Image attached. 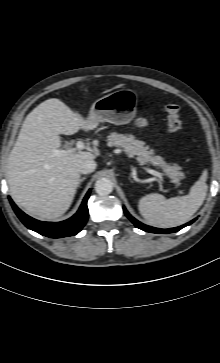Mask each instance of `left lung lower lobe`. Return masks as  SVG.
I'll return each mask as SVG.
<instances>
[{"mask_svg":"<svg viewBox=\"0 0 220 363\" xmlns=\"http://www.w3.org/2000/svg\"><path fill=\"white\" fill-rule=\"evenodd\" d=\"M124 212L126 214V216L131 220V222L139 229H142L146 232H152V233H160V234H166V233H173V232H177L180 229H182L185 226L190 225L192 222H194L196 219L180 226V227H176V228H171V229H158V228H154V227H150L147 225H144L143 223L139 222L138 220H136L135 218H133L128 212L127 210L124 208Z\"/></svg>","mask_w":220,"mask_h":363,"instance_id":"left-lung-lower-lobe-1","label":"left lung lower lobe"}]
</instances>
